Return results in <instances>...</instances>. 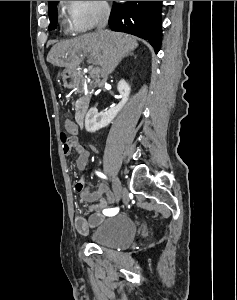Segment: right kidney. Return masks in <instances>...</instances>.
I'll list each match as a JSON object with an SVG mask.
<instances>
[{"instance_id": "obj_1", "label": "right kidney", "mask_w": 237, "mask_h": 300, "mask_svg": "<svg viewBox=\"0 0 237 300\" xmlns=\"http://www.w3.org/2000/svg\"><path fill=\"white\" fill-rule=\"evenodd\" d=\"M117 89L122 97V101H120L116 107H112V109L105 111V113H98L96 107L89 109L85 117V129L88 133H95V131L107 127V125L115 119L116 115L120 113L124 105H126L131 91L128 83L122 79V81H119Z\"/></svg>"}]
</instances>
